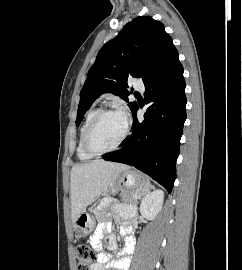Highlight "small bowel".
<instances>
[{
	"label": "small bowel",
	"mask_w": 242,
	"mask_h": 270,
	"mask_svg": "<svg viewBox=\"0 0 242 270\" xmlns=\"http://www.w3.org/2000/svg\"><path fill=\"white\" fill-rule=\"evenodd\" d=\"M113 211L123 223L121 235L124 238V248L118 254V259L105 254L102 247L103 238L106 237V247L110 251L117 249V239L112 233V221L102 220L90 240L92 247L97 252V262L93 264L91 270H126L129 267V256L134 250V239L131 236L129 224L134 214L130 208L122 205L114 206Z\"/></svg>",
	"instance_id": "small-bowel-1"
}]
</instances>
